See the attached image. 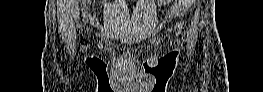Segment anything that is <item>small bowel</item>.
Returning a JSON list of instances; mask_svg holds the SVG:
<instances>
[{
    "label": "small bowel",
    "mask_w": 263,
    "mask_h": 92,
    "mask_svg": "<svg viewBox=\"0 0 263 92\" xmlns=\"http://www.w3.org/2000/svg\"><path fill=\"white\" fill-rule=\"evenodd\" d=\"M118 5H119L122 9H125V5L123 4V2H119Z\"/></svg>",
    "instance_id": "obj_1"
}]
</instances>
